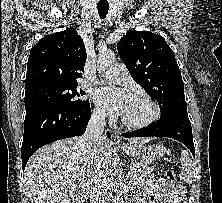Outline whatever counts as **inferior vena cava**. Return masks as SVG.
Returning <instances> with one entry per match:
<instances>
[{
  "label": "inferior vena cava",
  "instance_id": "602c4592",
  "mask_svg": "<svg viewBox=\"0 0 222 203\" xmlns=\"http://www.w3.org/2000/svg\"><path fill=\"white\" fill-rule=\"evenodd\" d=\"M106 115L101 112H94L89 120L85 134L82 137L83 145L95 154L98 145L106 140L103 135ZM107 176L100 175L91 186L90 203H109Z\"/></svg>",
  "mask_w": 222,
  "mask_h": 203
}]
</instances>
